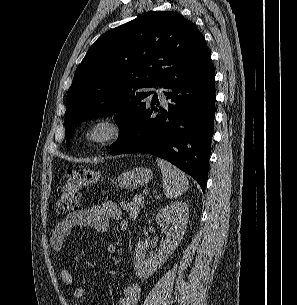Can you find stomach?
Masks as SVG:
<instances>
[{
    "mask_svg": "<svg viewBox=\"0 0 297 305\" xmlns=\"http://www.w3.org/2000/svg\"><path fill=\"white\" fill-rule=\"evenodd\" d=\"M152 178L153 172L151 169L139 167L121 173L116 179V184L120 188L131 190L149 182Z\"/></svg>",
    "mask_w": 297,
    "mask_h": 305,
    "instance_id": "obj_1",
    "label": "stomach"
}]
</instances>
